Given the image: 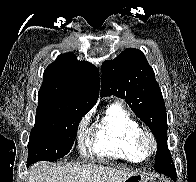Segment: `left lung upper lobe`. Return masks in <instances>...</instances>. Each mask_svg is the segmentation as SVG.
<instances>
[{
  "label": "left lung upper lobe",
  "instance_id": "5c2ea615",
  "mask_svg": "<svg viewBox=\"0 0 196 182\" xmlns=\"http://www.w3.org/2000/svg\"><path fill=\"white\" fill-rule=\"evenodd\" d=\"M110 95L125 99L147 124L158 144L155 170L176 179L172 160L167 163L157 160L160 154L171 156L167 147L166 108L154 71L140 50L129 48L115 59L103 62L101 96Z\"/></svg>",
  "mask_w": 196,
  "mask_h": 182
}]
</instances>
